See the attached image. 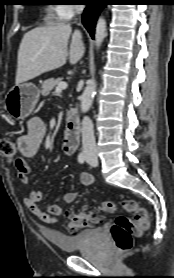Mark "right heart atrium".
<instances>
[{
  "label": "right heart atrium",
  "instance_id": "obj_1",
  "mask_svg": "<svg viewBox=\"0 0 174 278\" xmlns=\"http://www.w3.org/2000/svg\"><path fill=\"white\" fill-rule=\"evenodd\" d=\"M79 5L77 4H62L58 6V16L62 20H68L72 18V16L78 10Z\"/></svg>",
  "mask_w": 174,
  "mask_h": 278
}]
</instances>
